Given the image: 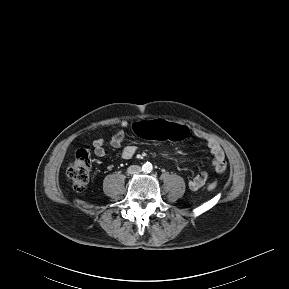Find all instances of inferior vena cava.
Here are the masks:
<instances>
[{"label":"inferior vena cava","mask_w":289,"mask_h":289,"mask_svg":"<svg viewBox=\"0 0 289 289\" xmlns=\"http://www.w3.org/2000/svg\"><path fill=\"white\" fill-rule=\"evenodd\" d=\"M142 171L141 167L138 165H131L128 167L127 172L129 174L140 173Z\"/></svg>","instance_id":"1"}]
</instances>
